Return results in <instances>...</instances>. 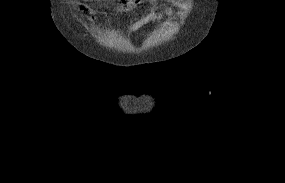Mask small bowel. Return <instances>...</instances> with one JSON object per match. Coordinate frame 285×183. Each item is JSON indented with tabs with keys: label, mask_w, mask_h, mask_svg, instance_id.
Returning a JSON list of instances; mask_svg holds the SVG:
<instances>
[{
	"label": "small bowel",
	"mask_w": 285,
	"mask_h": 183,
	"mask_svg": "<svg viewBox=\"0 0 285 183\" xmlns=\"http://www.w3.org/2000/svg\"><path fill=\"white\" fill-rule=\"evenodd\" d=\"M120 1V4L117 5L114 8V12H130L133 11L135 9V6L133 3L135 2H123L122 0H118ZM145 2H148L152 5H154L156 3L157 0H144ZM167 14H171L172 11L171 10H167L166 11ZM162 14L161 12H159L156 9H152L149 12H147L146 14H144L143 16H141L140 18H138L136 21H134L128 28L127 31L129 33H133L136 32L137 30H139L142 26H144L145 24H147L148 22L154 21L156 19L161 18Z\"/></svg>",
	"instance_id": "small-bowel-1"
}]
</instances>
